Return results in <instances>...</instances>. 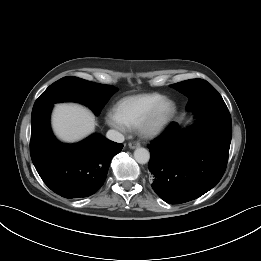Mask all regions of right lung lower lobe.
Wrapping results in <instances>:
<instances>
[{"instance_id":"98d812e1","label":"right lung lower lobe","mask_w":261,"mask_h":261,"mask_svg":"<svg viewBox=\"0 0 261 261\" xmlns=\"http://www.w3.org/2000/svg\"><path fill=\"white\" fill-rule=\"evenodd\" d=\"M52 107L50 104L32 113V162L44 183L58 195L88 197L104 184L110 161L123 145L98 134L77 144L60 143L50 129Z\"/></svg>"}]
</instances>
